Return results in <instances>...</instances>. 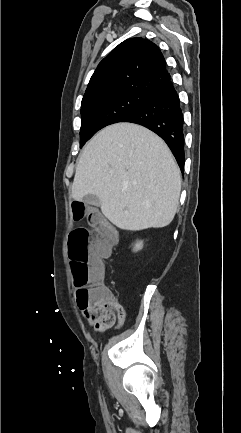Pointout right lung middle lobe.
<instances>
[{"mask_svg": "<svg viewBox=\"0 0 241 433\" xmlns=\"http://www.w3.org/2000/svg\"><path fill=\"white\" fill-rule=\"evenodd\" d=\"M147 96L140 92H122L82 102L80 147L103 127L122 122L144 103Z\"/></svg>", "mask_w": 241, "mask_h": 433, "instance_id": "dd1d6c3e", "label": "right lung middle lobe"}]
</instances>
